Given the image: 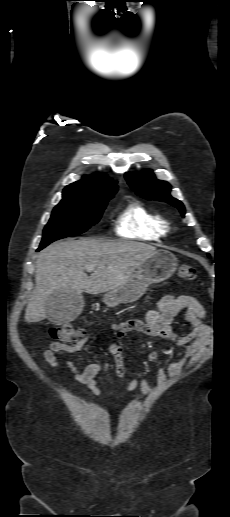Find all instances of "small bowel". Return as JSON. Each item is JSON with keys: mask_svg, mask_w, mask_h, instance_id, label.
Listing matches in <instances>:
<instances>
[{"mask_svg": "<svg viewBox=\"0 0 230 517\" xmlns=\"http://www.w3.org/2000/svg\"><path fill=\"white\" fill-rule=\"evenodd\" d=\"M181 311L184 312L185 320L191 327V331L185 335H179L171 328L173 318ZM203 317L204 309L195 298L187 295L179 297L165 295L159 300L156 309L147 312L145 319L135 318L120 323H113L111 331L114 334V341L110 344L109 351L113 357L117 377L122 380L125 376L122 341L130 332L134 331L142 332L149 336L161 337L184 347L182 354L173 360L167 368L160 367L157 370L156 382L158 385L177 377L184 369L198 364L205 357L212 336L211 328L203 323ZM88 339L89 333L85 332L74 346L50 341L43 351V357L53 368H59L58 359H62L65 365L74 372V379L85 387L86 393L93 399L101 393L96 383V377L108 369L109 363L102 365L99 362H93L81 368L74 365L64 356L65 353L81 350ZM158 357L159 353L152 351L148 354L147 360L155 362ZM137 388L143 394L151 392V386L142 377L133 378L126 387L128 392H133Z\"/></svg>", "mask_w": 230, "mask_h": 517, "instance_id": "1", "label": "small bowel"}]
</instances>
